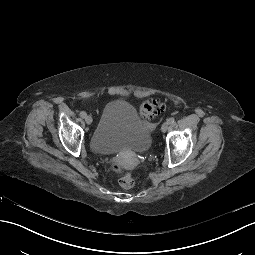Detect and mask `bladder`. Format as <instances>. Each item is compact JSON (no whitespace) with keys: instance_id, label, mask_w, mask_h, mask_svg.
Masks as SVG:
<instances>
[{"instance_id":"31cf9c89","label":"bladder","mask_w":255,"mask_h":255,"mask_svg":"<svg viewBox=\"0 0 255 255\" xmlns=\"http://www.w3.org/2000/svg\"><path fill=\"white\" fill-rule=\"evenodd\" d=\"M151 143L150 129L138 117L133 105L121 99L106 105L91 139L92 149L104 154L130 149H138L145 153Z\"/></svg>"}]
</instances>
